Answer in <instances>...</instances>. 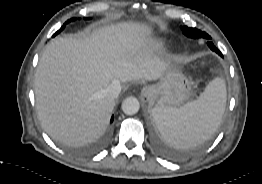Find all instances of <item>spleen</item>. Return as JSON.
<instances>
[{"label": "spleen", "instance_id": "obj_1", "mask_svg": "<svg viewBox=\"0 0 262 184\" xmlns=\"http://www.w3.org/2000/svg\"><path fill=\"white\" fill-rule=\"evenodd\" d=\"M226 96L225 81L217 77L197 100L179 108L156 106L152 115L166 142L176 148H189L217 131L225 111Z\"/></svg>", "mask_w": 262, "mask_h": 184}]
</instances>
